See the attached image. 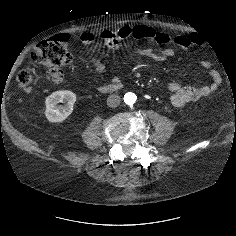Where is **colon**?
<instances>
[{
	"instance_id": "5ec220e1",
	"label": "colon",
	"mask_w": 236,
	"mask_h": 236,
	"mask_svg": "<svg viewBox=\"0 0 236 236\" xmlns=\"http://www.w3.org/2000/svg\"><path fill=\"white\" fill-rule=\"evenodd\" d=\"M31 61L35 66L44 67L48 76L53 78L60 67L72 61L67 38L59 35L40 42L32 50ZM39 81V75L31 69H23L17 76L18 85L27 91L35 88Z\"/></svg>"
}]
</instances>
